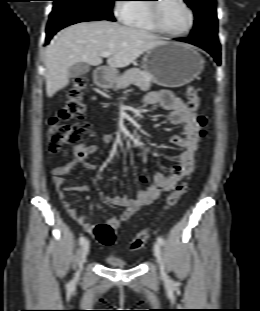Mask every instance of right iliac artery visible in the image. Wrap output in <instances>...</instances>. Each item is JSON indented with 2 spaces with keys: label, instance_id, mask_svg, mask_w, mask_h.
I'll use <instances>...</instances> for the list:
<instances>
[{
  "label": "right iliac artery",
  "instance_id": "obj_1",
  "mask_svg": "<svg viewBox=\"0 0 260 311\" xmlns=\"http://www.w3.org/2000/svg\"><path fill=\"white\" fill-rule=\"evenodd\" d=\"M85 237L84 236H81L80 238H79V244L80 245H82L84 242H85Z\"/></svg>",
  "mask_w": 260,
  "mask_h": 311
}]
</instances>
